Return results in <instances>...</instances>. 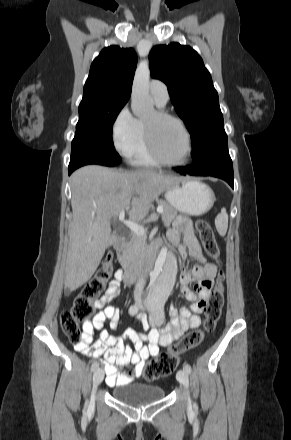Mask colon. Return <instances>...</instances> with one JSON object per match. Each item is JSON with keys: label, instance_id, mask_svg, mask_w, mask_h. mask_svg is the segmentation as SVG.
<instances>
[{"label": "colon", "instance_id": "colon-1", "mask_svg": "<svg viewBox=\"0 0 291 440\" xmlns=\"http://www.w3.org/2000/svg\"><path fill=\"white\" fill-rule=\"evenodd\" d=\"M196 228L205 252L221 266L220 251L211 225L207 221L199 219L196 222ZM112 273L111 260H104L98 268L95 277L77 295L71 309L62 312L60 317L61 328L70 341L75 343L82 342L83 332L80 330V325L82 322L88 321L94 313L92 301L104 291L105 285L110 280ZM222 278L223 271L220 269L217 284L208 297L205 306V326L208 330L214 328L221 316L224 303ZM206 285L209 287L208 282ZM202 338L203 332L197 330L187 335L180 342L170 345L156 360L149 362L145 366L143 370L144 378L148 381H155L173 374L179 363V355L187 348L197 345Z\"/></svg>", "mask_w": 291, "mask_h": 440}]
</instances>
